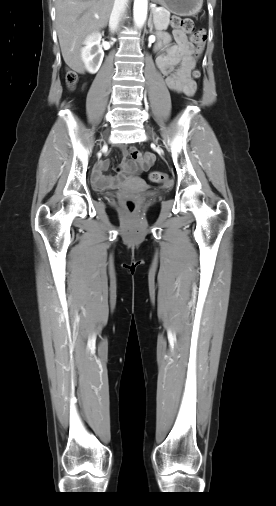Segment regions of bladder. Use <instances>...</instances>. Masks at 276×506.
I'll return each mask as SVG.
<instances>
[{"label":"bladder","instance_id":"obj_1","mask_svg":"<svg viewBox=\"0 0 276 506\" xmlns=\"http://www.w3.org/2000/svg\"><path fill=\"white\" fill-rule=\"evenodd\" d=\"M152 195H153V196H157V192H153V193H152Z\"/></svg>","mask_w":276,"mask_h":506}]
</instances>
